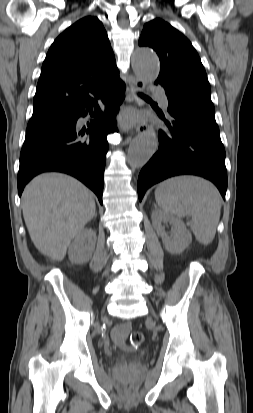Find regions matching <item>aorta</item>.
Returning <instances> with one entry per match:
<instances>
[{
	"label": "aorta",
	"mask_w": 253,
	"mask_h": 413,
	"mask_svg": "<svg viewBox=\"0 0 253 413\" xmlns=\"http://www.w3.org/2000/svg\"><path fill=\"white\" fill-rule=\"evenodd\" d=\"M136 75L143 80H154L158 77L160 67L156 53L147 47L135 50L132 59ZM158 148V138L153 130H147L137 136L128 150V163L139 168L145 165Z\"/></svg>",
	"instance_id": "1"
}]
</instances>
